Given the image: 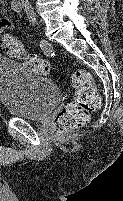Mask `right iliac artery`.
Listing matches in <instances>:
<instances>
[{
	"label": "right iliac artery",
	"instance_id": "1",
	"mask_svg": "<svg viewBox=\"0 0 123 201\" xmlns=\"http://www.w3.org/2000/svg\"><path fill=\"white\" fill-rule=\"evenodd\" d=\"M11 7L17 13L21 12V10H22V5L18 0H13L11 2Z\"/></svg>",
	"mask_w": 123,
	"mask_h": 201
}]
</instances>
